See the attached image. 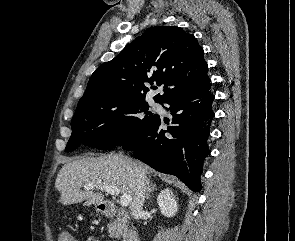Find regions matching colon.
I'll list each match as a JSON object with an SVG mask.
<instances>
[{
    "label": "colon",
    "mask_w": 295,
    "mask_h": 241,
    "mask_svg": "<svg viewBox=\"0 0 295 241\" xmlns=\"http://www.w3.org/2000/svg\"><path fill=\"white\" fill-rule=\"evenodd\" d=\"M60 241H74L73 236L69 232H62L59 237Z\"/></svg>",
    "instance_id": "colon-1"
}]
</instances>
